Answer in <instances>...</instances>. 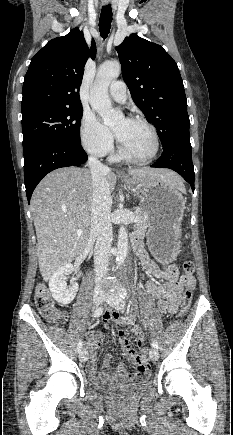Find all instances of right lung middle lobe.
Segmentation results:
<instances>
[{"label": "right lung middle lobe", "mask_w": 233, "mask_h": 435, "mask_svg": "<svg viewBox=\"0 0 233 435\" xmlns=\"http://www.w3.org/2000/svg\"><path fill=\"white\" fill-rule=\"evenodd\" d=\"M82 115V107H58L41 109L23 116V147L43 140L80 145Z\"/></svg>", "instance_id": "right-lung-middle-lobe-1"}]
</instances>
